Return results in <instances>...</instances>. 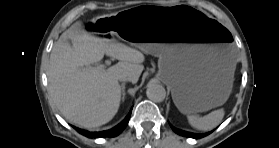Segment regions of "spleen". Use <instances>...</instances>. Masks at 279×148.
<instances>
[{
  "label": "spleen",
  "instance_id": "1",
  "mask_svg": "<svg viewBox=\"0 0 279 148\" xmlns=\"http://www.w3.org/2000/svg\"><path fill=\"white\" fill-rule=\"evenodd\" d=\"M223 117V109L212 111L203 117H198L196 115L187 116L188 122L192 127L203 131H208L218 126L221 123Z\"/></svg>",
  "mask_w": 279,
  "mask_h": 148
}]
</instances>
